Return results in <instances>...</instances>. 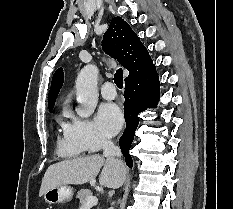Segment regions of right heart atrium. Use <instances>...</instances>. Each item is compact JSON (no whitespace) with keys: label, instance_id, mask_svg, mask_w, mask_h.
I'll return each mask as SVG.
<instances>
[{"label":"right heart atrium","instance_id":"right-heart-atrium-1","mask_svg":"<svg viewBox=\"0 0 233 209\" xmlns=\"http://www.w3.org/2000/svg\"><path fill=\"white\" fill-rule=\"evenodd\" d=\"M69 138L86 151H98L110 144V140L101 134L89 119L74 117L68 128Z\"/></svg>","mask_w":233,"mask_h":209}]
</instances>
